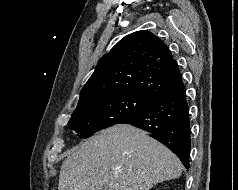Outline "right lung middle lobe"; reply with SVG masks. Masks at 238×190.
<instances>
[{
	"label": "right lung middle lobe",
	"instance_id": "right-lung-middle-lobe-1",
	"mask_svg": "<svg viewBox=\"0 0 238 190\" xmlns=\"http://www.w3.org/2000/svg\"><path fill=\"white\" fill-rule=\"evenodd\" d=\"M151 102L132 94H116L87 100L78 103L68 126L80 134L81 138H87L138 113Z\"/></svg>",
	"mask_w": 238,
	"mask_h": 190
}]
</instances>
